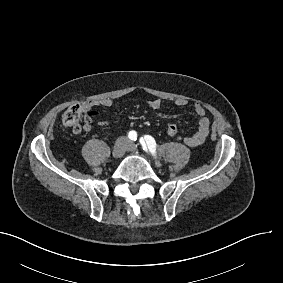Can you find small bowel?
<instances>
[{
	"label": "small bowel",
	"instance_id": "c3829d8e",
	"mask_svg": "<svg viewBox=\"0 0 283 283\" xmlns=\"http://www.w3.org/2000/svg\"><path fill=\"white\" fill-rule=\"evenodd\" d=\"M145 104L152 110H159L162 107V102L159 99H151L145 101ZM179 106L185 105L184 101L177 103ZM113 105V101L110 98H102L99 100H88L84 101L80 107L83 112L86 113V121L84 124V131L90 132L92 129L91 122L93 123H104L108 120V113L106 111H98L95 108L103 107L110 108ZM194 110L198 117L197 130L194 134L184 138V143L190 148H195L204 143L210 132V120L206 116L205 108L200 103L194 104Z\"/></svg>",
	"mask_w": 283,
	"mask_h": 283
}]
</instances>
